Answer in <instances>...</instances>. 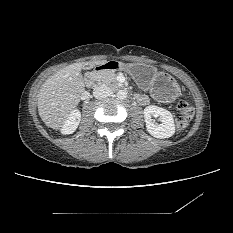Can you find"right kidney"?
Instances as JSON below:
<instances>
[{
  "label": "right kidney",
  "instance_id": "ca27d5eb",
  "mask_svg": "<svg viewBox=\"0 0 233 233\" xmlns=\"http://www.w3.org/2000/svg\"><path fill=\"white\" fill-rule=\"evenodd\" d=\"M80 120L81 113L78 110H73L62 126V134H72L77 129Z\"/></svg>",
  "mask_w": 233,
  "mask_h": 233
}]
</instances>
